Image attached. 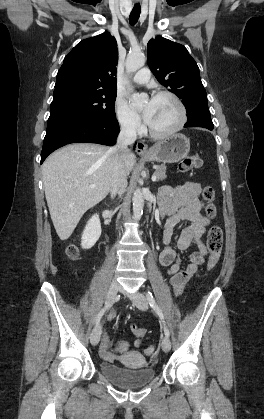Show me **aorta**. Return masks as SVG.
Listing matches in <instances>:
<instances>
[{
	"mask_svg": "<svg viewBox=\"0 0 264 419\" xmlns=\"http://www.w3.org/2000/svg\"><path fill=\"white\" fill-rule=\"evenodd\" d=\"M145 55L143 53H131L128 55L125 63L126 72L128 74L134 73L138 69L144 66L145 64ZM128 91L130 94V102L136 106L140 107L147 100L148 96L146 93H133V88L128 86ZM144 199L141 190L138 188L133 194V215L135 220H140L143 214Z\"/></svg>",
	"mask_w": 264,
	"mask_h": 419,
	"instance_id": "1",
	"label": "aorta"
}]
</instances>
